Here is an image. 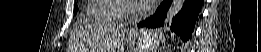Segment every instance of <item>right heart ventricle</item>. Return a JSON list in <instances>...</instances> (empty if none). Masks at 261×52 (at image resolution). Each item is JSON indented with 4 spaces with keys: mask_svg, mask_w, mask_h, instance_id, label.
<instances>
[{
    "mask_svg": "<svg viewBox=\"0 0 261 52\" xmlns=\"http://www.w3.org/2000/svg\"><path fill=\"white\" fill-rule=\"evenodd\" d=\"M118 4L116 0H91L88 19L94 23L120 24L122 18L116 15Z\"/></svg>",
    "mask_w": 261,
    "mask_h": 52,
    "instance_id": "1",
    "label": "right heart ventricle"
}]
</instances>
